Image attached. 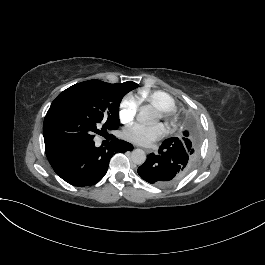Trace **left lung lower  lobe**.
<instances>
[{
    "mask_svg": "<svg viewBox=\"0 0 265 265\" xmlns=\"http://www.w3.org/2000/svg\"><path fill=\"white\" fill-rule=\"evenodd\" d=\"M188 156L185 148L176 138L163 141L159 153H151L138 168L140 177L157 186L171 185L183 178L187 170Z\"/></svg>",
    "mask_w": 265,
    "mask_h": 265,
    "instance_id": "1",
    "label": "left lung lower lobe"
}]
</instances>
